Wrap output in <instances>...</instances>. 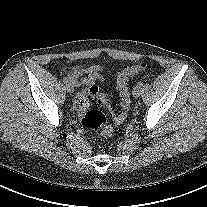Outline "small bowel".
Wrapping results in <instances>:
<instances>
[{
  "label": "small bowel",
  "instance_id": "1",
  "mask_svg": "<svg viewBox=\"0 0 207 207\" xmlns=\"http://www.w3.org/2000/svg\"><path fill=\"white\" fill-rule=\"evenodd\" d=\"M103 68L100 65H78L65 70L68 79L74 86H91L103 82Z\"/></svg>",
  "mask_w": 207,
  "mask_h": 207
}]
</instances>
